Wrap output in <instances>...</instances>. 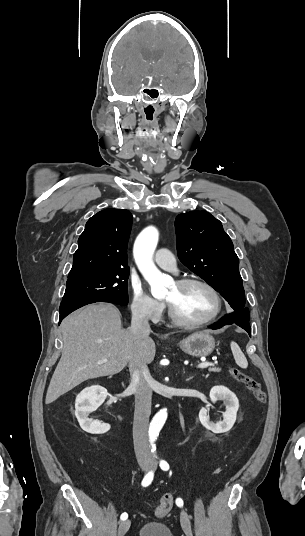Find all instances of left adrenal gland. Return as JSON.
<instances>
[{"label":"left adrenal gland","instance_id":"left-adrenal-gland-1","mask_svg":"<svg viewBox=\"0 0 305 536\" xmlns=\"http://www.w3.org/2000/svg\"><path fill=\"white\" fill-rule=\"evenodd\" d=\"M188 380H192V378H188Z\"/></svg>","mask_w":305,"mask_h":536}]
</instances>
